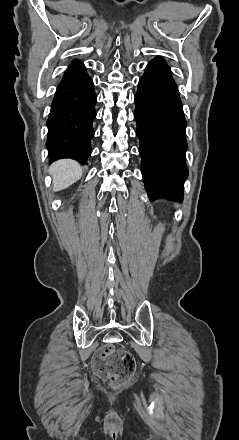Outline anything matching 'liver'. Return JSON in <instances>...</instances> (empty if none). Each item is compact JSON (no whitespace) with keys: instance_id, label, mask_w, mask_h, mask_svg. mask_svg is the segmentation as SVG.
<instances>
[{"instance_id":"liver-1","label":"liver","mask_w":239,"mask_h":440,"mask_svg":"<svg viewBox=\"0 0 239 440\" xmlns=\"http://www.w3.org/2000/svg\"><path fill=\"white\" fill-rule=\"evenodd\" d=\"M49 174L53 176V192H60L65 190L82 176V168L78 162L74 160H59L54 162L48 170Z\"/></svg>"}]
</instances>
